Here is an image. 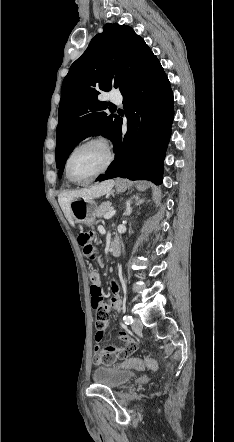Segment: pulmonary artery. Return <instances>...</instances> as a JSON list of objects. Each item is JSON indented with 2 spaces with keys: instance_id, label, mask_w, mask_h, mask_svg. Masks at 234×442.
<instances>
[{
  "instance_id": "1",
  "label": "pulmonary artery",
  "mask_w": 234,
  "mask_h": 442,
  "mask_svg": "<svg viewBox=\"0 0 234 442\" xmlns=\"http://www.w3.org/2000/svg\"><path fill=\"white\" fill-rule=\"evenodd\" d=\"M121 96L120 95H113L110 97V101L113 103H121Z\"/></svg>"
}]
</instances>
